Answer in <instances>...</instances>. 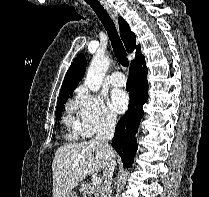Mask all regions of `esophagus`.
<instances>
[{
	"mask_svg": "<svg viewBox=\"0 0 209 197\" xmlns=\"http://www.w3.org/2000/svg\"><path fill=\"white\" fill-rule=\"evenodd\" d=\"M103 6L105 9L108 11V13L111 15L113 20L115 21L116 24H118V12L117 10L109 3L102 1Z\"/></svg>",
	"mask_w": 209,
	"mask_h": 197,
	"instance_id": "obj_1",
	"label": "esophagus"
}]
</instances>
